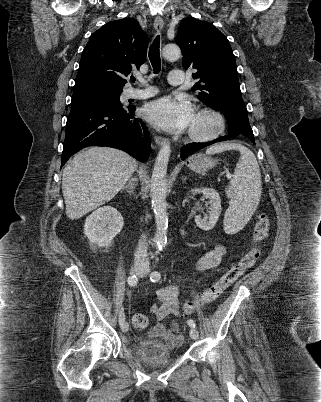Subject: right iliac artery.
<instances>
[{"mask_svg": "<svg viewBox=\"0 0 321 402\" xmlns=\"http://www.w3.org/2000/svg\"><path fill=\"white\" fill-rule=\"evenodd\" d=\"M127 281H128V284L130 286H135L137 284V282H138V278L135 275H131V276L128 277ZM124 321H125V314H124L123 308H120V311H119V324L122 325Z\"/></svg>", "mask_w": 321, "mask_h": 402, "instance_id": "right-iliac-artery-1", "label": "right iliac artery"}]
</instances>
